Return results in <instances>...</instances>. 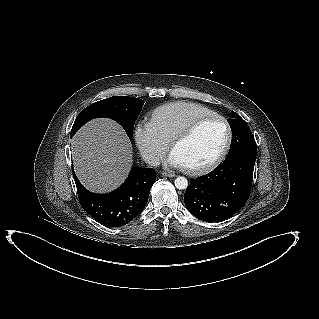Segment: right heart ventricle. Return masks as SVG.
<instances>
[{
    "instance_id": "obj_1",
    "label": "right heart ventricle",
    "mask_w": 319,
    "mask_h": 319,
    "mask_svg": "<svg viewBox=\"0 0 319 319\" xmlns=\"http://www.w3.org/2000/svg\"><path fill=\"white\" fill-rule=\"evenodd\" d=\"M212 113L215 112L197 103L175 101L153 109L149 115V122L169 143L190 121L199 116Z\"/></svg>"
}]
</instances>
